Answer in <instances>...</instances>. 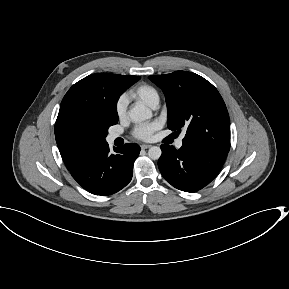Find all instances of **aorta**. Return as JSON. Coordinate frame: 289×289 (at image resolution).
Returning a JSON list of instances; mask_svg holds the SVG:
<instances>
[{"mask_svg":"<svg viewBox=\"0 0 289 289\" xmlns=\"http://www.w3.org/2000/svg\"><path fill=\"white\" fill-rule=\"evenodd\" d=\"M130 119L133 123H141L152 117V112L149 108L142 104H137L129 111ZM162 154L160 147L152 146L148 150V156L153 160H158Z\"/></svg>","mask_w":289,"mask_h":289,"instance_id":"obj_1","label":"aorta"}]
</instances>
